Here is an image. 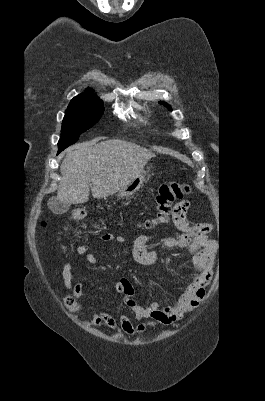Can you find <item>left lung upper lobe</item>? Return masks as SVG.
Listing matches in <instances>:
<instances>
[{"label": "left lung upper lobe", "mask_w": 265, "mask_h": 401, "mask_svg": "<svg viewBox=\"0 0 265 401\" xmlns=\"http://www.w3.org/2000/svg\"><path fill=\"white\" fill-rule=\"evenodd\" d=\"M163 105H165L168 109H170L171 110V107L168 105V104H166V103H163V102H161Z\"/></svg>", "instance_id": "5c2ea615"}]
</instances>
